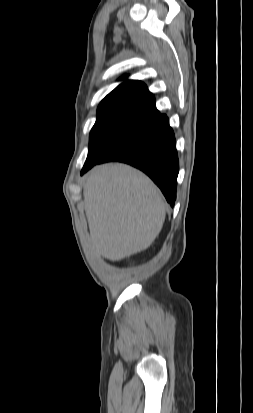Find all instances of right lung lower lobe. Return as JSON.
<instances>
[{
	"mask_svg": "<svg viewBox=\"0 0 253 413\" xmlns=\"http://www.w3.org/2000/svg\"><path fill=\"white\" fill-rule=\"evenodd\" d=\"M109 161L124 162L145 172L161 189L170 205H174L179 161L175 136L167 117L153 130L117 149L97 164ZM89 169L82 170L81 175Z\"/></svg>",
	"mask_w": 253,
	"mask_h": 413,
	"instance_id": "98d812e1",
	"label": "right lung lower lobe"
}]
</instances>
